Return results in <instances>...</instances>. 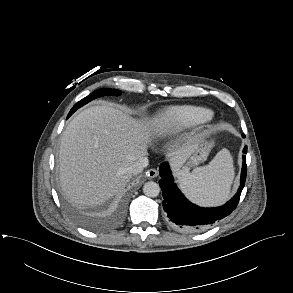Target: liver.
Returning <instances> with one entry per match:
<instances>
[{
    "mask_svg": "<svg viewBox=\"0 0 293 293\" xmlns=\"http://www.w3.org/2000/svg\"><path fill=\"white\" fill-rule=\"evenodd\" d=\"M161 119L137 121L111 106L81 111L63 132L59 150L61 187L78 205H98L121 192L132 178L130 166L147 154L154 135H161ZM199 145L189 139L171 147L167 159L174 171Z\"/></svg>",
    "mask_w": 293,
    "mask_h": 293,
    "instance_id": "6515ba94",
    "label": "liver"
}]
</instances>
